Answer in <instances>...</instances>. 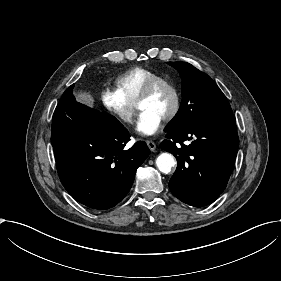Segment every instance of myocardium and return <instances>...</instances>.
I'll list each match as a JSON object with an SVG mask.
<instances>
[{"instance_id": "obj_1", "label": "myocardium", "mask_w": 281, "mask_h": 281, "mask_svg": "<svg viewBox=\"0 0 281 281\" xmlns=\"http://www.w3.org/2000/svg\"><path fill=\"white\" fill-rule=\"evenodd\" d=\"M165 86L167 87L173 96V103L169 113L164 118L163 122L169 123L172 121L180 111L181 107V96L178 87L169 79L164 77H156L150 80L146 86L144 87L143 91L141 92L138 100H137V107L139 108L140 103L146 99H148L152 94L160 87Z\"/></svg>"}]
</instances>
